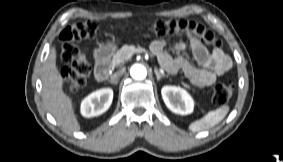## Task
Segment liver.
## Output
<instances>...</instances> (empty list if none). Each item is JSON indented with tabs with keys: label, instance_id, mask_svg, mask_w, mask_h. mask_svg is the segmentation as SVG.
<instances>
[{
	"label": "liver",
	"instance_id": "liver-1",
	"mask_svg": "<svg viewBox=\"0 0 283 162\" xmlns=\"http://www.w3.org/2000/svg\"><path fill=\"white\" fill-rule=\"evenodd\" d=\"M43 100L47 110L67 131H79L80 124L74 112L73 102L63 91L64 80L56 66V50L52 48L42 73Z\"/></svg>",
	"mask_w": 283,
	"mask_h": 162
}]
</instances>
